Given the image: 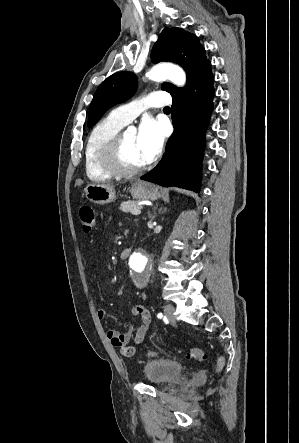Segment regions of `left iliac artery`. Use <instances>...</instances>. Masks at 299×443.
<instances>
[{
  "mask_svg": "<svg viewBox=\"0 0 299 443\" xmlns=\"http://www.w3.org/2000/svg\"><path fill=\"white\" fill-rule=\"evenodd\" d=\"M157 317L161 319V318H163V314L162 313H158Z\"/></svg>",
  "mask_w": 299,
  "mask_h": 443,
  "instance_id": "left-iliac-artery-1",
  "label": "left iliac artery"
}]
</instances>
